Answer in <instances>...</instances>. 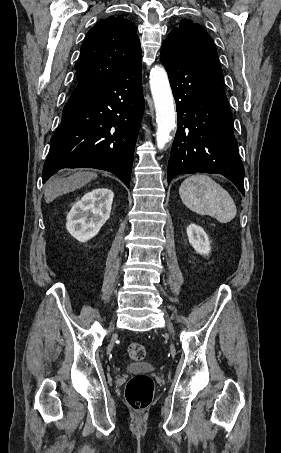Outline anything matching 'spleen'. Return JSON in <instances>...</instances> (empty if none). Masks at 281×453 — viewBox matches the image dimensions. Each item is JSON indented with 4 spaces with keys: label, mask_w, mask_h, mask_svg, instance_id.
Listing matches in <instances>:
<instances>
[{
    "label": "spleen",
    "mask_w": 281,
    "mask_h": 453,
    "mask_svg": "<svg viewBox=\"0 0 281 453\" xmlns=\"http://www.w3.org/2000/svg\"><path fill=\"white\" fill-rule=\"evenodd\" d=\"M179 194L186 206L198 214H209L219 222H230L237 214L229 192L207 174H192L181 182Z\"/></svg>",
    "instance_id": "obj_1"
}]
</instances>
